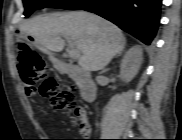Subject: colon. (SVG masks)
I'll return each instance as SVG.
<instances>
[{
	"mask_svg": "<svg viewBox=\"0 0 182 140\" xmlns=\"http://www.w3.org/2000/svg\"><path fill=\"white\" fill-rule=\"evenodd\" d=\"M15 50L18 69L28 95L41 93L43 96L49 97L54 109L71 110L75 108L74 89L60 88L57 81L50 77L48 64L35 50L25 41H18ZM39 82H41L40 86H38ZM75 112L77 116H82V111L76 109Z\"/></svg>",
	"mask_w": 182,
	"mask_h": 140,
	"instance_id": "obj_1",
	"label": "colon"
}]
</instances>
